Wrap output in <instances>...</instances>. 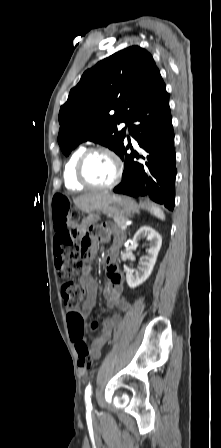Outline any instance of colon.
Listing matches in <instances>:
<instances>
[{"instance_id": "5ec220e1", "label": "colon", "mask_w": 221, "mask_h": 448, "mask_svg": "<svg viewBox=\"0 0 221 448\" xmlns=\"http://www.w3.org/2000/svg\"><path fill=\"white\" fill-rule=\"evenodd\" d=\"M52 215L57 229L54 239L55 265L60 276L64 278L61 287L62 296L65 306L74 310L82 301L85 289L75 284L72 278L85 268L90 240L88 236H82L77 232L80 214L76 209L71 208V200L67 196L56 195L53 198ZM68 326L70 337L76 343L78 366L89 369L92 358L83 341L84 320L72 312L68 315ZM96 327V322H92L89 326L92 331Z\"/></svg>"}]
</instances>
